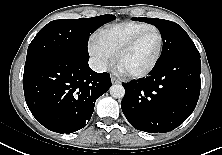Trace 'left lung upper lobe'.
<instances>
[{
  "label": "left lung upper lobe",
  "instance_id": "obj_1",
  "mask_svg": "<svg viewBox=\"0 0 222 155\" xmlns=\"http://www.w3.org/2000/svg\"><path fill=\"white\" fill-rule=\"evenodd\" d=\"M137 19L154 24L161 31L163 48L157 62L178 55L200 56L193 41L177 23L157 18L138 17Z\"/></svg>",
  "mask_w": 222,
  "mask_h": 155
}]
</instances>
